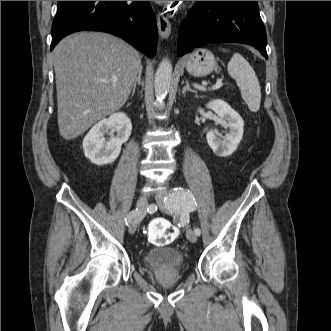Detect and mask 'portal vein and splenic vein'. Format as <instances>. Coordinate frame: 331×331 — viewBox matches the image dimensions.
<instances>
[{"instance_id":"obj_1","label":"portal vein and splenic vein","mask_w":331,"mask_h":331,"mask_svg":"<svg viewBox=\"0 0 331 331\" xmlns=\"http://www.w3.org/2000/svg\"><path fill=\"white\" fill-rule=\"evenodd\" d=\"M223 85L222 79H218L216 84L212 87V90L218 89Z\"/></svg>"}]
</instances>
